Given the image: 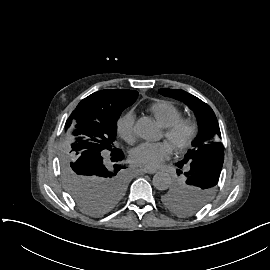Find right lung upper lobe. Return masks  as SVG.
<instances>
[{"instance_id":"cb5924a9","label":"right lung upper lobe","mask_w":270,"mask_h":270,"mask_svg":"<svg viewBox=\"0 0 270 270\" xmlns=\"http://www.w3.org/2000/svg\"><path fill=\"white\" fill-rule=\"evenodd\" d=\"M138 93L137 91L133 90H113V89H106L102 91H98L95 95L98 99L104 104H114L116 102H120L125 100L127 97L132 96L133 94Z\"/></svg>"}]
</instances>
